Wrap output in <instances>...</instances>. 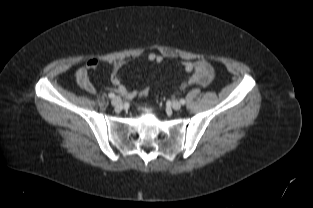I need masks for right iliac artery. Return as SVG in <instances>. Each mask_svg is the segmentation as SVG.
I'll use <instances>...</instances> for the list:
<instances>
[{
  "label": "right iliac artery",
  "instance_id": "82829eb1",
  "mask_svg": "<svg viewBox=\"0 0 313 208\" xmlns=\"http://www.w3.org/2000/svg\"><path fill=\"white\" fill-rule=\"evenodd\" d=\"M108 96H109V98H114L115 94L111 92V93L108 94Z\"/></svg>",
  "mask_w": 313,
  "mask_h": 208
}]
</instances>
